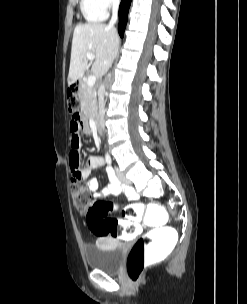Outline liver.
Segmentation results:
<instances>
[{"mask_svg":"<svg viewBox=\"0 0 247 304\" xmlns=\"http://www.w3.org/2000/svg\"><path fill=\"white\" fill-rule=\"evenodd\" d=\"M118 35L113 27L103 23L78 24L73 33L68 85H72L84 72L88 52L95 53L91 71L97 78L109 69L118 46Z\"/></svg>","mask_w":247,"mask_h":304,"instance_id":"1","label":"liver"}]
</instances>
